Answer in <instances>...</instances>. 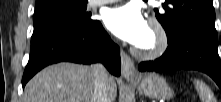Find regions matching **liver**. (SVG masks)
Here are the masks:
<instances>
[{
    "instance_id": "liver-1",
    "label": "liver",
    "mask_w": 221,
    "mask_h": 102,
    "mask_svg": "<svg viewBox=\"0 0 221 102\" xmlns=\"http://www.w3.org/2000/svg\"><path fill=\"white\" fill-rule=\"evenodd\" d=\"M93 66L61 62L44 68L26 85L22 102H92ZM117 86L109 77V99L114 102Z\"/></svg>"
}]
</instances>
